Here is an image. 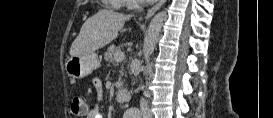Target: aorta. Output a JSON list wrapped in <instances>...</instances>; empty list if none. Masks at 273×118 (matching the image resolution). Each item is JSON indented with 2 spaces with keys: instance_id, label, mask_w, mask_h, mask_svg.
<instances>
[{
  "instance_id": "762f6f07",
  "label": "aorta",
  "mask_w": 273,
  "mask_h": 118,
  "mask_svg": "<svg viewBox=\"0 0 273 118\" xmlns=\"http://www.w3.org/2000/svg\"><path fill=\"white\" fill-rule=\"evenodd\" d=\"M165 16V12H159L153 17L148 26L147 35L144 43V56L146 61L150 58L151 54L155 49L156 43L159 38V33L165 20Z\"/></svg>"
}]
</instances>
